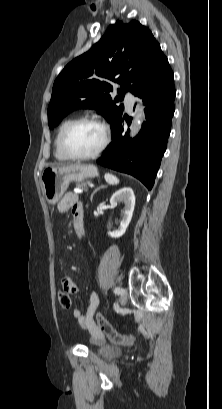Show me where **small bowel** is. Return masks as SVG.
Here are the masks:
<instances>
[{"mask_svg":"<svg viewBox=\"0 0 222 409\" xmlns=\"http://www.w3.org/2000/svg\"><path fill=\"white\" fill-rule=\"evenodd\" d=\"M58 210L62 213L71 211L74 217V227L81 239H85V232L83 228V207L78 201L77 195L73 192H68L64 195L62 200L58 205ZM70 287L69 295L71 297H76L79 293V286L76 285L72 279L65 278L63 280V287ZM99 297L95 292H92L89 297V304L85 313L83 314L80 309L76 308L73 310V316L78 321L80 326L87 330L91 336L93 342H101L104 337L102 332L99 330L98 326L94 322V316L99 307Z\"/></svg>","mask_w":222,"mask_h":409,"instance_id":"c3829d8e","label":"small bowel"}]
</instances>
